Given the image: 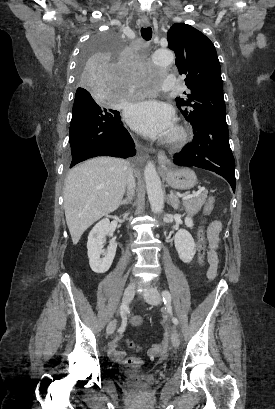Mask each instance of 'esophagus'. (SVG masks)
Masks as SVG:
<instances>
[{
  "instance_id": "esophagus-1",
  "label": "esophagus",
  "mask_w": 275,
  "mask_h": 409,
  "mask_svg": "<svg viewBox=\"0 0 275 409\" xmlns=\"http://www.w3.org/2000/svg\"><path fill=\"white\" fill-rule=\"evenodd\" d=\"M141 25L142 27H148L149 25V19L148 17H142L141 18ZM158 159H167V155L164 152V150H158ZM147 158V154L144 155V159Z\"/></svg>"
}]
</instances>
